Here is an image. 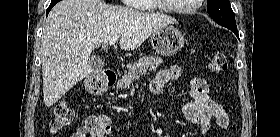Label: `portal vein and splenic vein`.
Segmentation results:
<instances>
[{
    "instance_id": "obj_1",
    "label": "portal vein and splenic vein",
    "mask_w": 280,
    "mask_h": 137,
    "mask_svg": "<svg viewBox=\"0 0 280 137\" xmlns=\"http://www.w3.org/2000/svg\"><path fill=\"white\" fill-rule=\"evenodd\" d=\"M117 40H118V36L112 37L109 41V45L110 46L114 45L117 42Z\"/></svg>"
}]
</instances>
